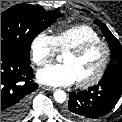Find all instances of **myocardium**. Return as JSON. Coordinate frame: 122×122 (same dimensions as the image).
<instances>
[{
    "instance_id": "1",
    "label": "myocardium",
    "mask_w": 122,
    "mask_h": 122,
    "mask_svg": "<svg viewBox=\"0 0 122 122\" xmlns=\"http://www.w3.org/2000/svg\"><path fill=\"white\" fill-rule=\"evenodd\" d=\"M97 46L102 47L104 50V57H103L102 64L93 77H91L90 79L85 80V81L76 82L77 86L80 88H88V87L94 86L102 79V77L104 76V74L108 68L109 62H110L111 49H110V46L108 45V43H106L105 41L94 40V41L86 42L78 47L68 50V53H71V54L79 57V56L84 55L86 52H88L89 50H91L92 48L97 47Z\"/></svg>"
}]
</instances>
